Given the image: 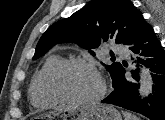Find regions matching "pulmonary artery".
<instances>
[{
    "mask_svg": "<svg viewBox=\"0 0 165 120\" xmlns=\"http://www.w3.org/2000/svg\"><path fill=\"white\" fill-rule=\"evenodd\" d=\"M113 51L118 54V55H121V56H126L127 55V50L120 46V45H115L113 46Z\"/></svg>",
    "mask_w": 165,
    "mask_h": 120,
    "instance_id": "pulmonary-artery-1",
    "label": "pulmonary artery"
}]
</instances>
